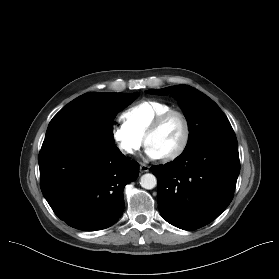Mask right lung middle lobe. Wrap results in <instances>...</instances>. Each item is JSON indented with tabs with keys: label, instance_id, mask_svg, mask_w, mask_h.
<instances>
[{
	"label": "right lung middle lobe",
	"instance_id": "dd1d6c3e",
	"mask_svg": "<svg viewBox=\"0 0 279 279\" xmlns=\"http://www.w3.org/2000/svg\"><path fill=\"white\" fill-rule=\"evenodd\" d=\"M138 96V92L83 94L68 103L53 117L45 138L67 132H78L103 144L114 145L113 121L117 113Z\"/></svg>",
	"mask_w": 279,
	"mask_h": 279
}]
</instances>
